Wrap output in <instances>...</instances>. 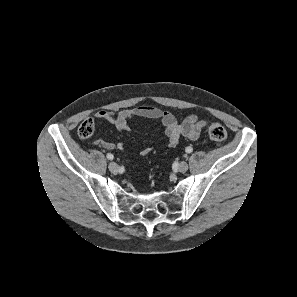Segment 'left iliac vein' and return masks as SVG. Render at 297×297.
Instances as JSON below:
<instances>
[{
  "label": "left iliac vein",
  "instance_id": "1",
  "mask_svg": "<svg viewBox=\"0 0 297 297\" xmlns=\"http://www.w3.org/2000/svg\"><path fill=\"white\" fill-rule=\"evenodd\" d=\"M178 170L182 173L186 172L188 170V164L185 161H182L178 165Z\"/></svg>",
  "mask_w": 297,
  "mask_h": 297
}]
</instances>
